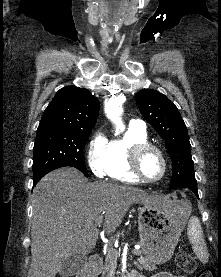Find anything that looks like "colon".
Masks as SVG:
<instances>
[{
    "instance_id": "colon-1",
    "label": "colon",
    "mask_w": 221,
    "mask_h": 277,
    "mask_svg": "<svg viewBox=\"0 0 221 277\" xmlns=\"http://www.w3.org/2000/svg\"><path fill=\"white\" fill-rule=\"evenodd\" d=\"M175 263L180 269L188 273L195 272L197 268L195 258L185 251H179L176 254ZM196 277H216V274L213 268H203L197 273Z\"/></svg>"
}]
</instances>
